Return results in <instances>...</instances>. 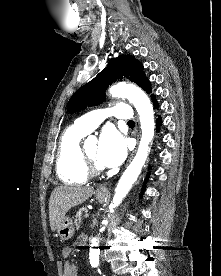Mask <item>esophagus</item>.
I'll return each mask as SVG.
<instances>
[{
  "label": "esophagus",
  "mask_w": 221,
  "mask_h": 276,
  "mask_svg": "<svg viewBox=\"0 0 221 276\" xmlns=\"http://www.w3.org/2000/svg\"><path fill=\"white\" fill-rule=\"evenodd\" d=\"M136 138H137V140H138V138H139L138 130H136ZM134 152H135V151H134ZM134 152L131 154L130 160L132 159V157H133V155H134ZM99 191L102 192V193H107V192H108V190L105 189V188H102V189H100Z\"/></svg>",
  "instance_id": "obj_1"
}]
</instances>
